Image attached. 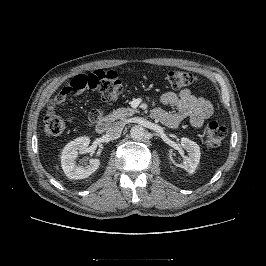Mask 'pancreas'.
I'll list each match as a JSON object with an SVG mask.
<instances>
[{
	"instance_id": "1",
	"label": "pancreas",
	"mask_w": 266,
	"mask_h": 266,
	"mask_svg": "<svg viewBox=\"0 0 266 266\" xmlns=\"http://www.w3.org/2000/svg\"><path fill=\"white\" fill-rule=\"evenodd\" d=\"M135 113H138V111L131 108H119L114 110L110 115H108L106 117V120L110 122L115 121L117 119L124 120Z\"/></svg>"
}]
</instances>
